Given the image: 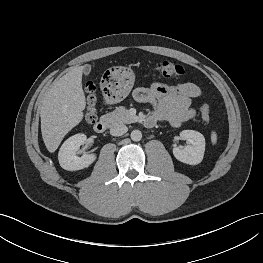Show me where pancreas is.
I'll return each instance as SVG.
<instances>
[{
    "label": "pancreas",
    "instance_id": "1",
    "mask_svg": "<svg viewBox=\"0 0 263 263\" xmlns=\"http://www.w3.org/2000/svg\"><path fill=\"white\" fill-rule=\"evenodd\" d=\"M106 118L112 126L123 123L130 124L136 121L124 106L117 107L114 111L106 114Z\"/></svg>",
    "mask_w": 263,
    "mask_h": 263
}]
</instances>
